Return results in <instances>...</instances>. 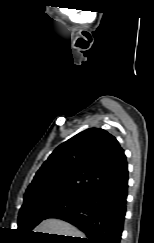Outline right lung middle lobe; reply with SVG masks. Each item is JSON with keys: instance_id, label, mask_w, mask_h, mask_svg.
I'll use <instances>...</instances> for the list:
<instances>
[{"instance_id": "right-lung-middle-lobe-1", "label": "right lung middle lobe", "mask_w": 154, "mask_h": 243, "mask_svg": "<svg viewBox=\"0 0 154 243\" xmlns=\"http://www.w3.org/2000/svg\"><path fill=\"white\" fill-rule=\"evenodd\" d=\"M87 198L56 195L39 198L24 203L19 211L18 229L20 235L32 233V229L47 218H54L58 214L73 210L85 204Z\"/></svg>"}]
</instances>
